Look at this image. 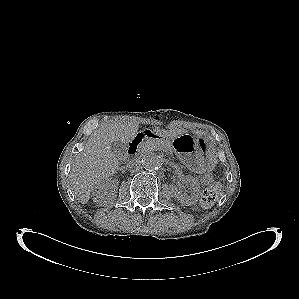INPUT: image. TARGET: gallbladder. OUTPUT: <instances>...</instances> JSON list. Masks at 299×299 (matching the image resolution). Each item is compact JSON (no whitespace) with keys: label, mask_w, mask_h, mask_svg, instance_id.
Listing matches in <instances>:
<instances>
[{"label":"gallbladder","mask_w":299,"mask_h":299,"mask_svg":"<svg viewBox=\"0 0 299 299\" xmlns=\"http://www.w3.org/2000/svg\"><path fill=\"white\" fill-rule=\"evenodd\" d=\"M126 145L121 141H114L111 145L112 152L118 157H124L126 155Z\"/></svg>","instance_id":"1"}]
</instances>
